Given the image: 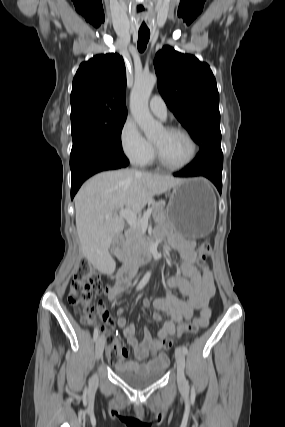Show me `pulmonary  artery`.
<instances>
[{"instance_id": "e3ab8cb5", "label": "pulmonary artery", "mask_w": 285, "mask_h": 427, "mask_svg": "<svg viewBox=\"0 0 285 427\" xmlns=\"http://www.w3.org/2000/svg\"><path fill=\"white\" fill-rule=\"evenodd\" d=\"M150 110L156 116L165 119L167 115V106L163 98L159 95H154L149 102Z\"/></svg>"}]
</instances>
